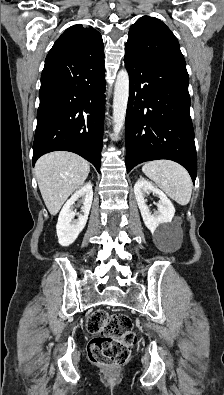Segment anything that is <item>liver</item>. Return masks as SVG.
Here are the masks:
<instances>
[{
  "label": "liver",
  "instance_id": "1",
  "mask_svg": "<svg viewBox=\"0 0 224 395\" xmlns=\"http://www.w3.org/2000/svg\"><path fill=\"white\" fill-rule=\"evenodd\" d=\"M89 172V163L70 152H51L37 160L35 176L51 215H56L68 197L83 186Z\"/></svg>",
  "mask_w": 224,
  "mask_h": 395
}]
</instances>
